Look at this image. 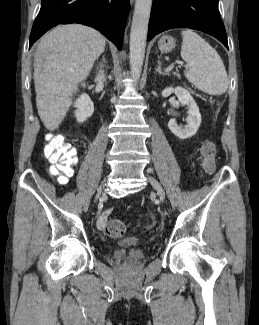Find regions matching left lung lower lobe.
I'll use <instances>...</instances> for the list:
<instances>
[{
	"instance_id": "obj_1",
	"label": "left lung lower lobe",
	"mask_w": 259,
	"mask_h": 325,
	"mask_svg": "<svg viewBox=\"0 0 259 325\" xmlns=\"http://www.w3.org/2000/svg\"><path fill=\"white\" fill-rule=\"evenodd\" d=\"M219 0H153L148 40L173 28H190L210 34L227 48V36L219 10Z\"/></svg>"
}]
</instances>
